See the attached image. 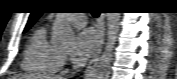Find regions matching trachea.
Here are the masks:
<instances>
[{"label": "trachea", "instance_id": "obj_1", "mask_svg": "<svg viewBox=\"0 0 177 79\" xmlns=\"http://www.w3.org/2000/svg\"><path fill=\"white\" fill-rule=\"evenodd\" d=\"M93 16L96 18V17H98V14H93Z\"/></svg>", "mask_w": 177, "mask_h": 79}]
</instances>
